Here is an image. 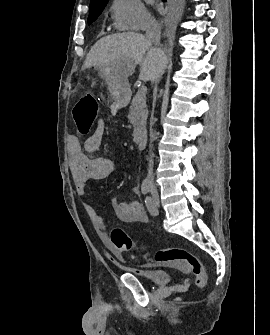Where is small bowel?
<instances>
[{
  "mask_svg": "<svg viewBox=\"0 0 270 335\" xmlns=\"http://www.w3.org/2000/svg\"><path fill=\"white\" fill-rule=\"evenodd\" d=\"M105 124L102 119L97 121L93 133L85 140L82 147L80 141L75 137H70L69 145V167L77 193L84 196L86 185L91 181H98L108 178L115 170V163L105 157H90L88 153H96L103 141ZM133 193L138 194L139 188L134 187ZM111 204L116 217L124 223H146L147 214L141 203L135 200L122 201L117 197L111 199ZM86 211L90 215L95 227L102 233L108 227V223L103 215L90 204L85 205Z\"/></svg>",
  "mask_w": 270,
  "mask_h": 335,
  "instance_id": "1",
  "label": "small bowel"
}]
</instances>
